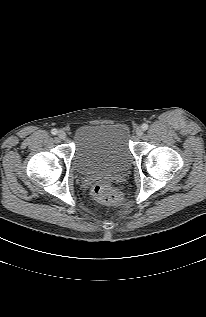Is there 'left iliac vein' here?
Masks as SVG:
<instances>
[{
	"label": "left iliac vein",
	"instance_id": "1",
	"mask_svg": "<svg viewBox=\"0 0 206 317\" xmlns=\"http://www.w3.org/2000/svg\"><path fill=\"white\" fill-rule=\"evenodd\" d=\"M143 133H144L143 128L138 127V128L136 129V135H137V137H141V136L143 135Z\"/></svg>",
	"mask_w": 206,
	"mask_h": 317
}]
</instances>
